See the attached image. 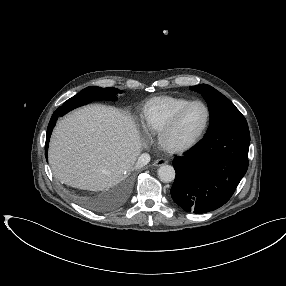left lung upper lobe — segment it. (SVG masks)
<instances>
[{
	"mask_svg": "<svg viewBox=\"0 0 286 286\" xmlns=\"http://www.w3.org/2000/svg\"><path fill=\"white\" fill-rule=\"evenodd\" d=\"M200 93L208 104L210 125L206 132L227 127H248L246 119L236 106L222 93L207 84L190 87Z\"/></svg>",
	"mask_w": 286,
	"mask_h": 286,
	"instance_id": "obj_1",
	"label": "left lung upper lobe"
}]
</instances>
